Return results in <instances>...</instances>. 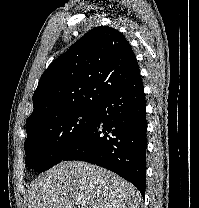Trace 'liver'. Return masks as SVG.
Instances as JSON below:
<instances>
[{
  "mask_svg": "<svg viewBox=\"0 0 199 208\" xmlns=\"http://www.w3.org/2000/svg\"><path fill=\"white\" fill-rule=\"evenodd\" d=\"M139 191L120 176L83 161H64L31 185L28 208H138Z\"/></svg>",
  "mask_w": 199,
  "mask_h": 208,
  "instance_id": "liver-1",
  "label": "liver"
}]
</instances>
